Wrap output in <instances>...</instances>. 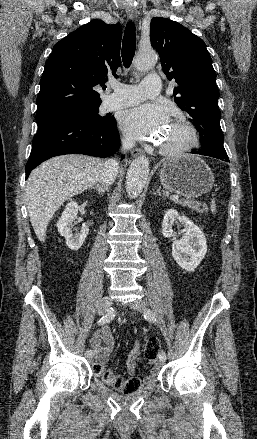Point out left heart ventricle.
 <instances>
[{"label":"left heart ventricle","mask_w":257,"mask_h":439,"mask_svg":"<svg viewBox=\"0 0 257 439\" xmlns=\"http://www.w3.org/2000/svg\"><path fill=\"white\" fill-rule=\"evenodd\" d=\"M188 134L180 126L169 125L163 136L161 144L167 147H176L187 143Z\"/></svg>","instance_id":"1"}]
</instances>
